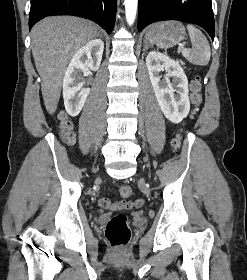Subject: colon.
I'll use <instances>...</instances> for the list:
<instances>
[{
    "mask_svg": "<svg viewBox=\"0 0 247 280\" xmlns=\"http://www.w3.org/2000/svg\"><path fill=\"white\" fill-rule=\"evenodd\" d=\"M191 101L195 111L202 104V84L199 77H195L191 84ZM59 128L63 139L67 142L73 140L72 123L66 115L60 116ZM182 143V135L178 134L172 141V146L175 150H179ZM119 194L122 198H130L133 195V190L128 185H122L119 188ZM105 236L108 242L113 247H123L128 244L131 237V230L128 218L125 214L119 213L114 215L107 223Z\"/></svg>",
    "mask_w": 247,
    "mask_h": 280,
    "instance_id": "obj_1",
    "label": "colon"
}]
</instances>
